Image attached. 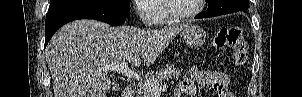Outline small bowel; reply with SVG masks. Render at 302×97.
<instances>
[{
	"label": "small bowel",
	"mask_w": 302,
	"mask_h": 97,
	"mask_svg": "<svg viewBox=\"0 0 302 97\" xmlns=\"http://www.w3.org/2000/svg\"><path fill=\"white\" fill-rule=\"evenodd\" d=\"M229 84V77L224 72L190 68L176 87L175 97H194L198 87L213 91L217 97H234Z\"/></svg>",
	"instance_id": "1"
}]
</instances>
